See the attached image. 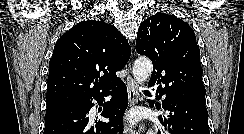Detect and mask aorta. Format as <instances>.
<instances>
[{"label":"aorta","instance_id":"aorta-1","mask_svg":"<svg viewBox=\"0 0 244 134\" xmlns=\"http://www.w3.org/2000/svg\"><path fill=\"white\" fill-rule=\"evenodd\" d=\"M153 70V65L150 59L146 57L138 58L133 66V77L135 81L139 84L145 82L151 75ZM148 134H153L149 132Z\"/></svg>","mask_w":244,"mask_h":134}]
</instances>
